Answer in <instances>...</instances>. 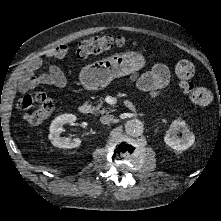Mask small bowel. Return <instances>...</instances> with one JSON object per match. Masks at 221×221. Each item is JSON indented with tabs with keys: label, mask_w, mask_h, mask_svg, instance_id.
I'll use <instances>...</instances> for the list:
<instances>
[{
	"label": "small bowel",
	"mask_w": 221,
	"mask_h": 221,
	"mask_svg": "<svg viewBox=\"0 0 221 221\" xmlns=\"http://www.w3.org/2000/svg\"><path fill=\"white\" fill-rule=\"evenodd\" d=\"M68 52L69 46L60 45L46 51L40 57L33 58L22 72L19 90L27 92L40 85L56 86L59 88L67 87V77L59 68L52 66L41 74H37V71L42 67L44 59L64 57ZM169 81L170 73L168 68L164 64L158 63L138 79L137 85L141 90L148 92L151 96H156L168 86Z\"/></svg>",
	"instance_id": "1"
}]
</instances>
